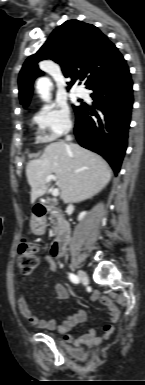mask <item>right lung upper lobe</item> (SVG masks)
<instances>
[{"mask_svg":"<svg viewBox=\"0 0 145 385\" xmlns=\"http://www.w3.org/2000/svg\"><path fill=\"white\" fill-rule=\"evenodd\" d=\"M50 58L59 63L71 87L76 80L86 88L115 74L127 64L115 45L95 26L69 20L56 28L47 42L24 63L19 74V97L27 106L34 79L42 75L37 63Z\"/></svg>","mask_w":145,"mask_h":385,"instance_id":"right-lung-upper-lobe-1","label":"right lung upper lobe"}]
</instances>
